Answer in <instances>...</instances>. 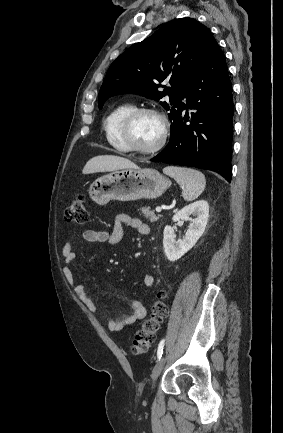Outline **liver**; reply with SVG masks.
Instances as JSON below:
<instances>
[{
    "label": "liver",
    "mask_w": 283,
    "mask_h": 433,
    "mask_svg": "<svg viewBox=\"0 0 283 433\" xmlns=\"http://www.w3.org/2000/svg\"><path fill=\"white\" fill-rule=\"evenodd\" d=\"M121 168H139L135 162L123 156H114V154H100V156H93L86 162L82 172L90 174V172H111V170H121Z\"/></svg>",
    "instance_id": "6515ba94"
}]
</instances>
